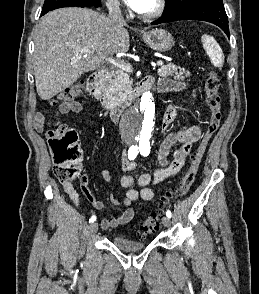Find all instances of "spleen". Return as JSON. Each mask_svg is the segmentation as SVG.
<instances>
[{
	"mask_svg": "<svg viewBox=\"0 0 259 294\" xmlns=\"http://www.w3.org/2000/svg\"><path fill=\"white\" fill-rule=\"evenodd\" d=\"M201 41L211 63L215 67L222 68L224 65V55L217 41L212 36L207 34L202 35Z\"/></svg>",
	"mask_w": 259,
	"mask_h": 294,
	"instance_id": "3e777b00",
	"label": "spleen"
}]
</instances>
